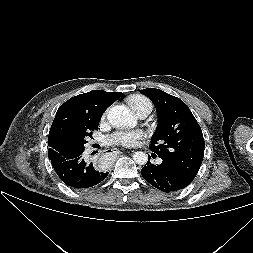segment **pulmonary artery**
<instances>
[{
    "mask_svg": "<svg viewBox=\"0 0 253 253\" xmlns=\"http://www.w3.org/2000/svg\"><path fill=\"white\" fill-rule=\"evenodd\" d=\"M151 110H152V107L148 106V107H145V108H142V109L138 110L136 113L140 118H145L149 115ZM158 162L161 163V160H158Z\"/></svg>",
    "mask_w": 253,
    "mask_h": 253,
    "instance_id": "1",
    "label": "pulmonary artery"
}]
</instances>
